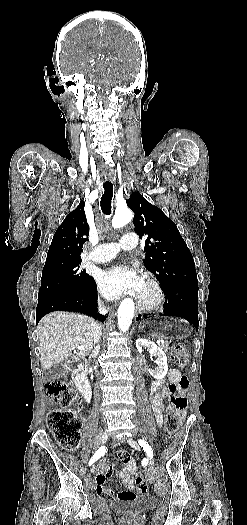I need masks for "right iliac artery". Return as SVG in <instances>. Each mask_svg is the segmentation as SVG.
I'll return each instance as SVG.
<instances>
[{
    "label": "right iliac artery",
    "instance_id": "obj_1",
    "mask_svg": "<svg viewBox=\"0 0 247 525\" xmlns=\"http://www.w3.org/2000/svg\"><path fill=\"white\" fill-rule=\"evenodd\" d=\"M107 452V448L105 446L100 447L97 452L92 456V458L89 461V465H92L95 461H97L101 456H103Z\"/></svg>",
    "mask_w": 247,
    "mask_h": 525
}]
</instances>
